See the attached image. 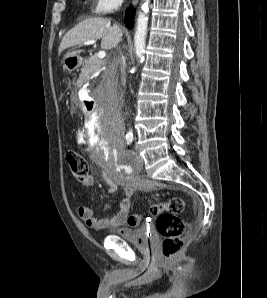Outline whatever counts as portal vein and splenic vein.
Returning <instances> with one entry per match:
<instances>
[{"label":"portal vein and splenic vein","mask_w":267,"mask_h":298,"mask_svg":"<svg viewBox=\"0 0 267 298\" xmlns=\"http://www.w3.org/2000/svg\"><path fill=\"white\" fill-rule=\"evenodd\" d=\"M95 43V40H88L86 42H84V45H92ZM98 58L103 59L106 56L105 51H99L98 53Z\"/></svg>","instance_id":"18ae733b"}]
</instances>
